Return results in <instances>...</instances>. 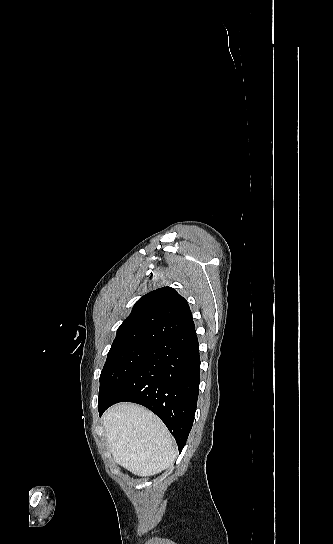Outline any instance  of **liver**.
<instances>
[{"mask_svg": "<svg viewBox=\"0 0 333 544\" xmlns=\"http://www.w3.org/2000/svg\"><path fill=\"white\" fill-rule=\"evenodd\" d=\"M102 419L115 462L135 475L157 474L176 459L174 439L149 410L121 403L109 408Z\"/></svg>", "mask_w": 333, "mask_h": 544, "instance_id": "obj_1", "label": "liver"}]
</instances>
